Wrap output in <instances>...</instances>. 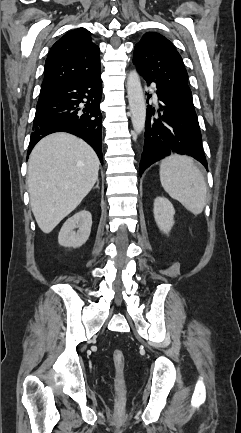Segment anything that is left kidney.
<instances>
[{
	"instance_id": "5707ae66",
	"label": "left kidney",
	"mask_w": 241,
	"mask_h": 433,
	"mask_svg": "<svg viewBox=\"0 0 241 433\" xmlns=\"http://www.w3.org/2000/svg\"><path fill=\"white\" fill-rule=\"evenodd\" d=\"M154 218L159 229L168 234L174 225L175 209L171 202L164 197H157L154 200Z\"/></svg>"
}]
</instances>
